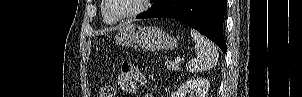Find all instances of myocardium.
<instances>
[{
  "label": "myocardium",
  "mask_w": 302,
  "mask_h": 97,
  "mask_svg": "<svg viewBox=\"0 0 302 97\" xmlns=\"http://www.w3.org/2000/svg\"><path fill=\"white\" fill-rule=\"evenodd\" d=\"M149 3L150 0H139V6L135 10L125 15H116L115 13H113V11L110 8V0H104V11L113 20L124 21L142 14L144 11L147 10Z\"/></svg>",
  "instance_id": "1"
}]
</instances>
